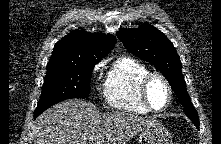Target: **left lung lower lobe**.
<instances>
[{
    "label": "left lung lower lobe",
    "instance_id": "obj_1",
    "mask_svg": "<svg viewBox=\"0 0 221 144\" xmlns=\"http://www.w3.org/2000/svg\"><path fill=\"white\" fill-rule=\"evenodd\" d=\"M196 127H197V128H199V124H198V125H196Z\"/></svg>",
    "mask_w": 221,
    "mask_h": 144
}]
</instances>
